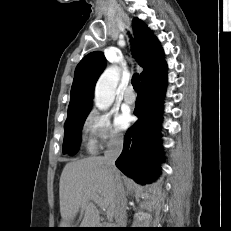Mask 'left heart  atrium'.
Wrapping results in <instances>:
<instances>
[{
    "label": "left heart atrium",
    "mask_w": 231,
    "mask_h": 231,
    "mask_svg": "<svg viewBox=\"0 0 231 231\" xmlns=\"http://www.w3.org/2000/svg\"><path fill=\"white\" fill-rule=\"evenodd\" d=\"M132 116L129 111H123L117 119V123L121 128H127L130 125Z\"/></svg>",
    "instance_id": "obj_1"
}]
</instances>
